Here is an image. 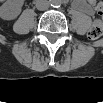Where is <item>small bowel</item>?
I'll return each mask as SVG.
<instances>
[{
    "label": "small bowel",
    "instance_id": "obj_1",
    "mask_svg": "<svg viewBox=\"0 0 103 103\" xmlns=\"http://www.w3.org/2000/svg\"><path fill=\"white\" fill-rule=\"evenodd\" d=\"M77 7L87 15H93L94 14V7L92 2H81L77 5Z\"/></svg>",
    "mask_w": 103,
    "mask_h": 103
}]
</instances>
